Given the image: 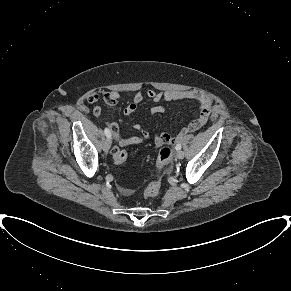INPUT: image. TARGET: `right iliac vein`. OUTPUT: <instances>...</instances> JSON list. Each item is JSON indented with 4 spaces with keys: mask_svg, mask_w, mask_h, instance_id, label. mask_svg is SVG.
I'll list each match as a JSON object with an SVG mask.
<instances>
[{
    "mask_svg": "<svg viewBox=\"0 0 291 291\" xmlns=\"http://www.w3.org/2000/svg\"><path fill=\"white\" fill-rule=\"evenodd\" d=\"M110 146H111V140H110V138H107L103 143V150L105 152H108L110 149Z\"/></svg>",
    "mask_w": 291,
    "mask_h": 291,
    "instance_id": "1",
    "label": "right iliac vein"
}]
</instances>
